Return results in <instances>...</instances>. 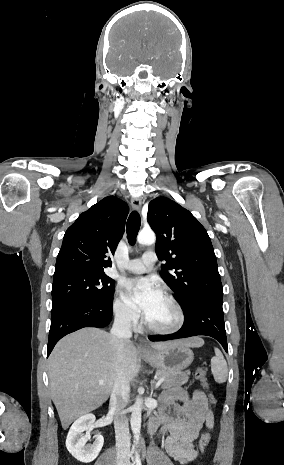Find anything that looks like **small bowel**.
Masks as SVG:
<instances>
[{
	"mask_svg": "<svg viewBox=\"0 0 284 465\" xmlns=\"http://www.w3.org/2000/svg\"><path fill=\"white\" fill-rule=\"evenodd\" d=\"M166 407L161 411L164 428L160 435L163 446L169 457L180 465H188L198 456L194 442L200 431L212 430L214 416L208 406L206 395L195 390L189 395L180 387L172 388L164 393ZM157 423L150 425L153 432Z\"/></svg>",
	"mask_w": 284,
	"mask_h": 465,
	"instance_id": "1",
	"label": "small bowel"
}]
</instances>
